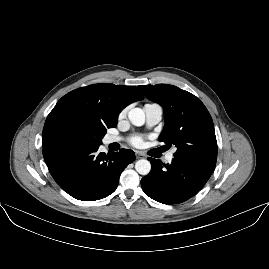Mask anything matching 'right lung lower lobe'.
<instances>
[{"mask_svg":"<svg viewBox=\"0 0 269 269\" xmlns=\"http://www.w3.org/2000/svg\"><path fill=\"white\" fill-rule=\"evenodd\" d=\"M100 144L72 140L43 146V157L57 184L72 197L94 201L112 194L122 171L135 159L132 150L98 153Z\"/></svg>","mask_w":269,"mask_h":269,"instance_id":"98d812e1","label":"right lung lower lobe"}]
</instances>
